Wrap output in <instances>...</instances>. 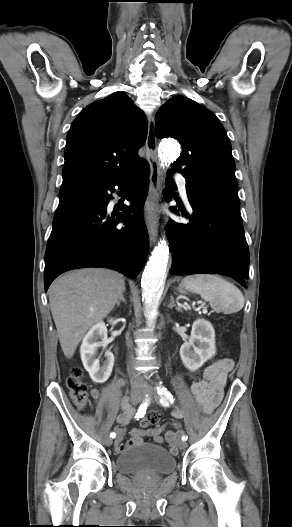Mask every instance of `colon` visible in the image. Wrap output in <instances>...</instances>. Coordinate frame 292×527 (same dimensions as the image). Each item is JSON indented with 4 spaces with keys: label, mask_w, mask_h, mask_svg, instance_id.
<instances>
[{
    "label": "colon",
    "mask_w": 292,
    "mask_h": 527,
    "mask_svg": "<svg viewBox=\"0 0 292 527\" xmlns=\"http://www.w3.org/2000/svg\"><path fill=\"white\" fill-rule=\"evenodd\" d=\"M68 393L74 404L79 408H84L88 400V387L83 380V373L80 368H73L66 380ZM160 420V413L157 411H150L140 421L143 428L151 427L157 424Z\"/></svg>",
    "instance_id": "obj_1"
}]
</instances>
